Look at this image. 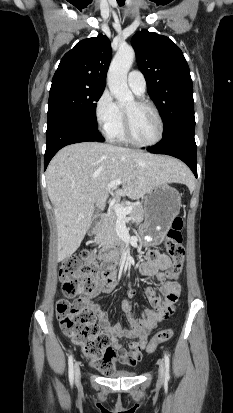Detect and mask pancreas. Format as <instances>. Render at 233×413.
Returning a JSON list of instances; mask_svg holds the SVG:
<instances>
[{"label": "pancreas", "mask_w": 233, "mask_h": 413, "mask_svg": "<svg viewBox=\"0 0 233 413\" xmlns=\"http://www.w3.org/2000/svg\"><path fill=\"white\" fill-rule=\"evenodd\" d=\"M123 207H127L129 205L123 203L121 204ZM132 211L129 213V220L133 223H140L143 221L144 218V210L143 206L140 204H133ZM117 215L115 211L110 212L107 214L99 223L96 232H95V242L100 245H105L108 242H115L119 243V237L116 233V222H117Z\"/></svg>", "instance_id": "pancreas-1"}]
</instances>
